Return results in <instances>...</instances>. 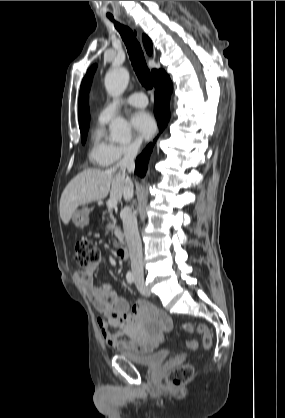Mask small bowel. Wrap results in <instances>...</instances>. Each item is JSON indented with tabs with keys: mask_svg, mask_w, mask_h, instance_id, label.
<instances>
[{
	"mask_svg": "<svg viewBox=\"0 0 285 418\" xmlns=\"http://www.w3.org/2000/svg\"><path fill=\"white\" fill-rule=\"evenodd\" d=\"M104 263L100 257L78 272L75 277L94 306L96 321L103 338L114 349L153 350L164 341L165 333L173 327L167 313L148 302H139L130 311L128 303L113 287L94 283V273ZM117 329L113 334L111 329ZM190 350H196L198 343L190 340Z\"/></svg>",
	"mask_w": 285,
	"mask_h": 418,
	"instance_id": "obj_1",
	"label": "small bowel"
}]
</instances>
